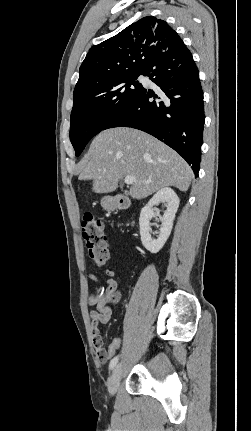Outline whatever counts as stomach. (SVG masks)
<instances>
[{"label": "stomach", "mask_w": 251, "mask_h": 431, "mask_svg": "<svg viewBox=\"0 0 251 431\" xmlns=\"http://www.w3.org/2000/svg\"><path fill=\"white\" fill-rule=\"evenodd\" d=\"M101 205L103 208L108 209V210L115 208L114 201L109 197L103 198L101 200Z\"/></svg>", "instance_id": "1"}]
</instances>
